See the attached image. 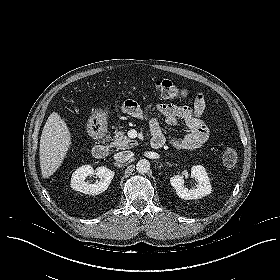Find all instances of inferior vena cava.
<instances>
[{
  "label": "inferior vena cava",
  "instance_id": "obj_1",
  "mask_svg": "<svg viewBox=\"0 0 280 280\" xmlns=\"http://www.w3.org/2000/svg\"><path fill=\"white\" fill-rule=\"evenodd\" d=\"M134 156L132 151H122L115 154V160L118 162H127Z\"/></svg>",
  "mask_w": 280,
  "mask_h": 280
}]
</instances>
